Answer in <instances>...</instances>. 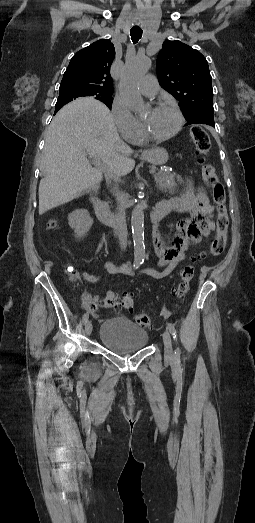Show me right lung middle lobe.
I'll list each match as a JSON object with an SVG mask.
<instances>
[{
	"label": "right lung middle lobe",
	"mask_w": 255,
	"mask_h": 523,
	"mask_svg": "<svg viewBox=\"0 0 255 523\" xmlns=\"http://www.w3.org/2000/svg\"><path fill=\"white\" fill-rule=\"evenodd\" d=\"M85 96H93L95 99L100 100L101 102L106 104L111 109L112 102H113V98L111 95H93V94H83V93H77V92L63 91V92H60L58 101L68 103V102L72 101L73 99H76L78 97H85Z\"/></svg>",
	"instance_id": "right-lung-middle-lobe-1"
}]
</instances>
